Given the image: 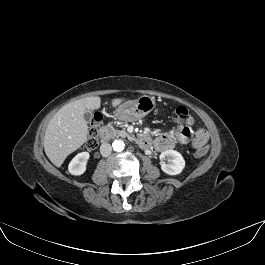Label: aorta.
<instances>
[{"mask_svg": "<svg viewBox=\"0 0 265 265\" xmlns=\"http://www.w3.org/2000/svg\"><path fill=\"white\" fill-rule=\"evenodd\" d=\"M113 150L116 152H121L125 148V143L122 140H114L112 143Z\"/></svg>", "mask_w": 265, "mask_h": 265, "instance_id": "obj_1", "label": "aorta"}]
</instances>
